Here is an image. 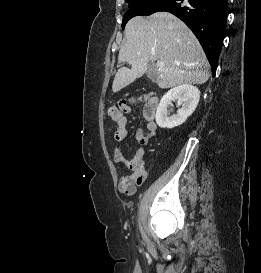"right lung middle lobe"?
<instances>
[{
	"label": "right lung middle lobe",
	"instance_id": "obj_1",
	"mask_svg": "<svg viewBox=\"0 0 261 273\" xmlns=\"http://www.w3.org/2000/svg\"><path fill=\"white\" fill-rule=\"evenodd\" d=\"M130 5V9L125 13L122 28L124 29L126 23L134 16L140 15V8L154 0H126Z\"/></svg>",
	"mask_w": 261,
	"mask_h": 273
}]
</instances>
